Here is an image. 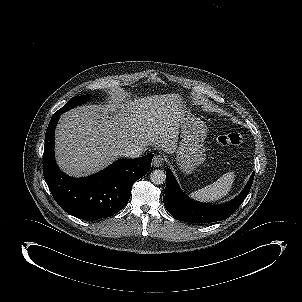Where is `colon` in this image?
Here are the masks:
<instances>
[{
	"instance_id": "1",
	"label": "colon",
	"mask_w": 302,
	"mask_h": 302,
	"mask_svg": "<svg viewBox=\"0 0 302 302\" xmlns=\"http://www.w3.org/2000/svg\"><path fill=\"white\" fill-rule=\"evenodd\" d=\"M242 136L239 133H225L216 137L215 142L218 146H238L242 143Z\"/></svg>"
}]
</instances>
